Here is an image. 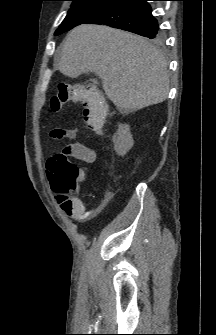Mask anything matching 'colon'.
<instances>
[{
  "instance_id": "1",
  "label": "colon",
  "mask_w": 216,
  "mask_h": 335,
  "mask_svg": "<svg viewBox=\"0 0 216 335\" xmlns=\"http://www.w3.org/2000/svg\"><path fill=\"white\" fill-rule=\"evenodd\" d=\"M78 103L84 107L87 125L95 131H100L105 124L107 106L89 86L78 84L70 87H58L50 99L49 107L52 112L56 113L69 105ZM69 156L70 150L64 146L49 159L48 165L52 170L49 177L52 189L63 201L62 209L71 214L73 210L80 208V204L75 201L73 195L79 185L84 184L83 178L89 177V172L87 169L81 171L78 165L69 161Z\"/></svg>"
}]
</instances>
